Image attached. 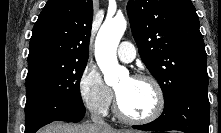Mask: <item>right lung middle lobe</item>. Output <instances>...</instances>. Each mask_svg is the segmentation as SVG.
<instances>
[{
	"label": "right lung middle lobe",
	"instance_id": "right-lung-middle-lobe-1",
	"mask_svg": "<svg viewBox=\"0 0 221 133\" xmlns=\"http://www.w3.org/2000/svg\"><path fill=\"white\" fill-rule=\"evenodd\" d=\"M86 64L81 62L52 66L27 75L26 93H37L54 102H82L80 80Z\"/></svg>",
	"mask_w": 221,
	"mask_h": 133
}]
</instances>
